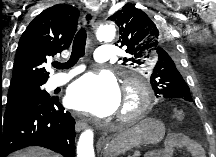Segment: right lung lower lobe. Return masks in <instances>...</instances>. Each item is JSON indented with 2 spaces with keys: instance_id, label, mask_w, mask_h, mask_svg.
I'll use <instances>...</instances> for the list:
<instances>
[{
  "instance_id": "right-lung-lower-lobe-1",
  "label": "right lung lower lobe",
  "mask_w": 216,
  "mask_h": 157,
  "mask_svg": "<svg viewBox=\"0 0 216 157\" xmlns=\"http://www.w3.org/2000/svg\"><path fill=\"white\" fill-rule=\"evenodd\" d=\"M75 120L57 98L24 105L0 115V157L27 146H41L75 157Z\"/></svg>"
}]
</instances>
